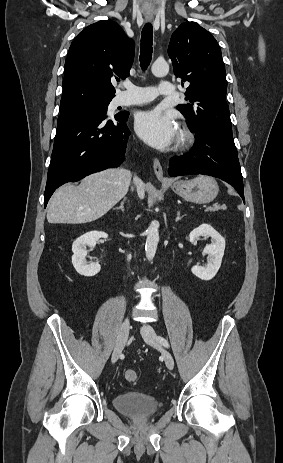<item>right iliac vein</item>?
<instances>
[{
	"label": "right iliac vein",
	"mask_w": 283,
	"mask_h": 463,
	"mask_svg": "<svg viewBox=\"0 0 283 463\" xmlns=\"http://www.w3.org/2000/svg\"><path fill=\"white\" fill-rule=\"evenodd\" d=\"M129 329H130V320L126 318L123 321L119 329L118 335H117V339H116L112 357H111L112 363H115L118 360L120 354L122 353V350L129 336Z\"/></svg>",
	"instance_id": "1"
}]
</instances>
